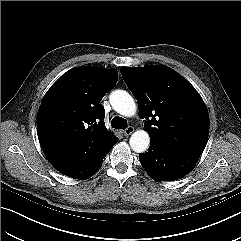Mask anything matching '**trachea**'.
Listing matches in <instances>:
<instances>
[{"label": "trachea", "instance_id": "obj_1", "mask_svg": "<svg viewBox=\"0 0 241 241\" xmlns=\"http://www.w3.org/2000/svg\"><path fill=\"white\" fill-rule=\"evenodd\" d=\"M112 128L125 129L127 127V121L122 117H114L111 121Z\"/></svg>", "mask_w": 241, "mask_h": 241}]
</instances>
